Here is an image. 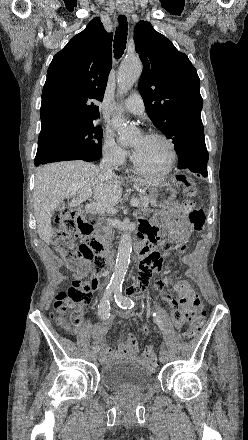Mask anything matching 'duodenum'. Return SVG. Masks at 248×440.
Here are the masks:
<instances>
[{
    "label": "duodenum",
    "mask_w": 248,
    "mask_h": 440,
    "mask_svg": "<svg viewBox=\"0 0 248 440\" xmlns=\"http://www.w3.org/2000/svg\"><path fill=\"white\" fill-rule=\"evenodd\" d=\"M97 216L90 214L84 217L81 231L85 236L92 234L93 224L97 221ZM91 245L94 249L100 252L104 256H108L110 253L109 246L105 239H101L99 236L91 237ZM135 251L137 257L142 261L143 257H150L153 252V245L142 237L138 236L135 240ZM142 266V265H141ZM106 271L101 272L100 275H104Z\"/></svg>",
    "instance_id": "obj_1"
}]
</instances>
